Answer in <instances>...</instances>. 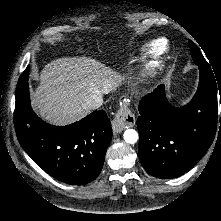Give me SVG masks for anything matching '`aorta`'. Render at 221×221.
I'll return each mask as SVG.
<instances>
[{"instance_id": "aorta-1", "label": "aorta", "mask_w": 221, "mask_h": 221, "mask_svg": "<svg viewBox=\"0 0 221 221\" xmlns=\"http://www.w3.org/2000/svg\"><path fill=\"white\" fill-rule=\"evenodd\" d=\"M123 138L125 140L126 143L129 144H134L138 141L139 139V134L136 130L134 129H127L125 130V132L123 133Z\"/></svg>"}]
</instances>
